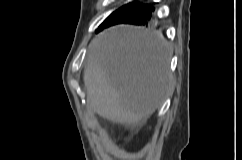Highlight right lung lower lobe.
<instances>
[{"label": "right lung lower lobe", "mask_w": 242, "mask_h": 160, "mask_svg": "<svg viewBox=\"0 0 242 160\" xmlns=\"http://www.w3.org/2000/svg\"><path fill=\"white\" fill-rule=\"evenodd\" d=\"M152 11H154V8H151L149 5L142 6L117 24L147 25L151 19Z\"/></svg>", "instance_id": "obj_1"}]
</instances>
